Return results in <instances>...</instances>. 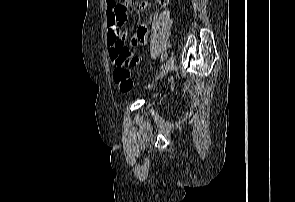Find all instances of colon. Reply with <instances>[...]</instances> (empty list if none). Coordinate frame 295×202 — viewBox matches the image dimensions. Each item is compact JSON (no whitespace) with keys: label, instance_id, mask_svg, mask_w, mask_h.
Here are the masks:
<instances>
[{"label":"colon","instance_id":"colon-1","mask_svg":"<svg viewBox=\"0 0 295 202\" xmlns=\"http://www.w3.org/2000/svg\"><path fill=\"white\" fill-rule=\"evenodd\" d=\"M129 66L130 61L121 58L114 61V81L123 92L130 91L134 85Z\"/></svg>","mask_w":295,"mask_h":202}]
</instances>
